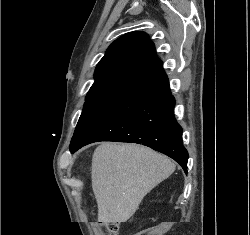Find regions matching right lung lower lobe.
Segmentation results:
<instances>
[{"instance_id":"right-lung-lower-lobe-1","label":"right lung lower lobe","mask_w":250,"mask_h":235,"mask_svg":"<svg viewBox=\"0 0 250 235\" xmlns=\"http://www.w3.org/2000/svg\"><path fill=\"white\" fill-rule=\"evenodd\" d=\"M174 106L175 99L163 73L70 145V151L74 153L97 141L138 143L171 157L187 173L188 152L182 143V128L174 117Z\"/></svg>"}]
</instances>
